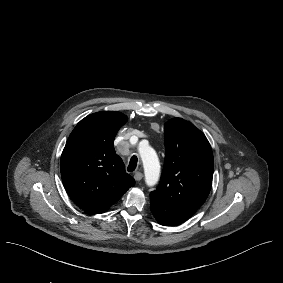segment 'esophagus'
I'll return each instance as SVG.
<instances>
[{"label":"esophagus","instance_id":"34e87169","mask_svg":"<svg viewBox=\"0 0 283 283\" xmlns=\"http://www.w3.org/2000/svg\"><path fill=\"white\" fill-rule=\"evenodd\" d=\"M142 178H143V173H142V172H136V173L134 174V179H135L136 181H140Z\"/></svg>","mask_w":283,"mask_h":283}]
</instances>
